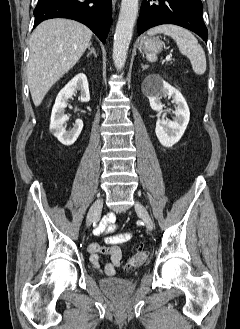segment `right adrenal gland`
<instances>
[{
  "instance_id": "obj_1",
  "label": "right adrenal gland",
  "mask_w": 240,
  "mask_h": 329,
  "mask_svg": "<svg viewBox=\"0 0 240 329\" xmlns=\"http://www.w3.org/2000/svg\"><path fill=\"white\" fill-rule=\"evenodd\" d=\"M91 45V44H90ZM90 45H89V47H88V49H89V53H88V55H87V57H89L90 55H94L95 57H97V54H96V52H95V49L93 48V47H90Z\"/></svg>"
}]
</instances>
